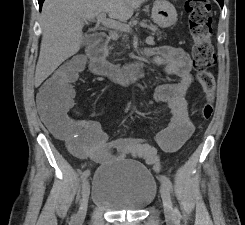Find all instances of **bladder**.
Instances as JSON below:
<instances>
[{
    "mask_svg": "<svg viewBox=\"0 0 245 225\" xmlns=\"http://www.w3.org/2000/svg\"><path fill=\"white\" fill-rule=\"evenodd\" d=\"M157 189L156 177L146 166L123 159L95 172L91 201L113 212H137L153 202Z\"/></svg>",
    "mask_w": 245,
    "mask_h": 225,
    "instance_id": "31cf9c89",
    "label": "bladder"
}]
</instances>
